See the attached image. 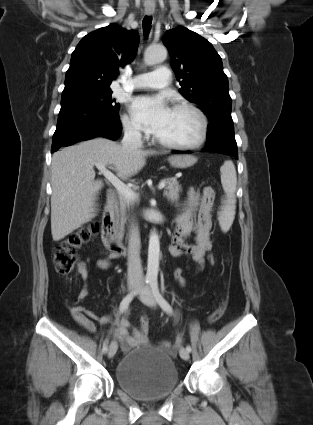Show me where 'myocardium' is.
I'll return each mask as SVG.
<instances>
[{"label": "myocardium", "mask_w": 313, "mask_h": 425, "mask_svg": "<svg viewBox=\"0 0 313 425\" xmlns=\"http://www.w3.org/2000/svg\"><path fill=\"white\" fill-rule=\"evenodd\" d=\"M173 110H186L192 112L198 118L200 122V132L198 138L192 143H172L164 141L157 136L155 137V141L163 147L175 149V150H194L201 147L207 139L209 123L204 112L198 108L197 106L188 103V102H180L173 106Z\"/></svg>", "instance_id": "f54148a6"}]
</instances>
